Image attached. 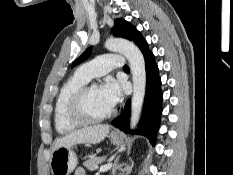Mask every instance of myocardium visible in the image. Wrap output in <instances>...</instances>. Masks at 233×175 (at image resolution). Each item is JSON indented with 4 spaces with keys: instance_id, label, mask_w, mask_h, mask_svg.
Segmentation results:
<instances>
[{
    "instance_id": "myocardium-1",
    "label": "myocardium",
    "mask_w": 233,
    "mask_h": 175,
    "mask_svg": "<svg viewBox=\"0 0 233 175\" xmlns=\"http://www.w3.org/2000/svg\"><path fill=\"white\" fill-rule=\"evenodd\" d=\"M92 88L90 85H84L77 90L71 97L67 112L69 117L80 124H94L102 122L110 118L114 114V109H111L108 113L100 116H94L89 113L87 109V96L89 90Z\"/></svg>"
}]
</instances>
